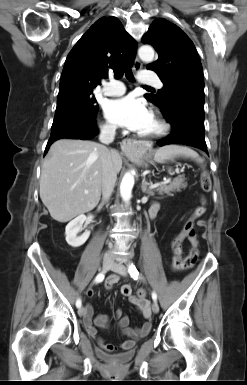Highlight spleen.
<instances>
[{
    "instance_id": "spleen-1",
    "label": "spleen",
    "mask_w": 247,
    "mask_h": 385,
    "mask_svg": "<svg viewBox=\"0 0 247 385\" xmlns=\"http://www.w3.org/2000/svg\"><path fill=\"white\" fill-rule=\"evenodd\" d=\"M177 157L191 158L199 162L202 161L198 153L192 150L191 148L176 144L163 146L159 148L154 155L155 161L161 163L167 160H172Z\"/></svg>"
}]
</instances>
